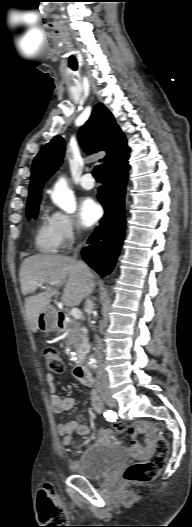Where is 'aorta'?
<instances>
[{
  "instance_id": "aorta-1",
  "label": "aorta",
  "mask_w": 192,
  "mask_h": 527,
  "mask_svg": "<svg viewBox=\"0 0 192 527\" xmlns=\"http://www.w3.org/2000/svg\"><path fill=\"white\" fill-rule=\"evenodd\" d=\"M54 203L67 213H74L76 210V200L73 192L68 188L67 181L61 177L54 186L52 194ZM89 365L96 367V362L93 356L89 359Z\"/></svg>"
}]
</instances>
